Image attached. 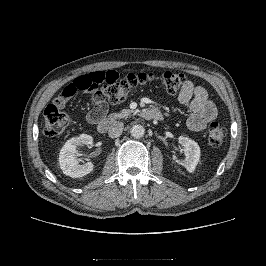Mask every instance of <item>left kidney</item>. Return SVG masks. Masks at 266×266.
<instances>
[{"mask_svg":"<svg viewBox=\"0 0 266 266\" xmlns=\"http://www.w3.org/2000/svg\"><path fill=\"white\" fill-rule=\"evenodd\" d=\"M179 142L184 147L186 153L185 160L180 162V164L184 166L188 172H193L200 159V147L197 142L185 136H180Z\"/></svg>","mask_w":266,"mask_h":266,"instance_id":"5707ae66","label":"left kidney"}]
</instances>
